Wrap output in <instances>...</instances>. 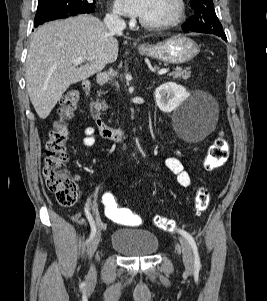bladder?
<instances>
[{
  "label": "bladder",
  "mask_w": 267,
  "mask_h": 301,
  "mask_svg": "<svg viewBox=\"0 0 267 301\" xmlns=\"http://www.w3.org/2000/svg\"><path fill=\"white\" fill-rule=\"evenodd\" d=\"M111 247L127 257H143L158 250L159 240L149 230L122 228L112 234Z\"/></svg>",
  "instance_id": "31cf9c89"
}]
</instances>
